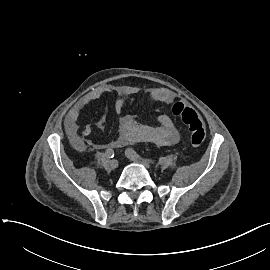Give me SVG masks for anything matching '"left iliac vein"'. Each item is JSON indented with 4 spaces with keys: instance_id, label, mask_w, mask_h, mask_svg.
<instances>
[{
    "instance_id": "4c4485c4",
    "label": "left iliac vein",
    "mask_w": 270,
    "mask_h": 270,
    "mask_svg": "<svg viewBox=\"0 0 270 270\" xmlns=\"http://www.w3.org/2000/svg\"><path fill=\"white\" fill-rule=\"evenodd\" d=\"M126 156L133 162H136V163H139V164H142L144 165L145 167H149V162L146 161L145 159H139V158H136V157H133L131 156L130 154L126 153Z\"/></svg>"
}]
</instances>
